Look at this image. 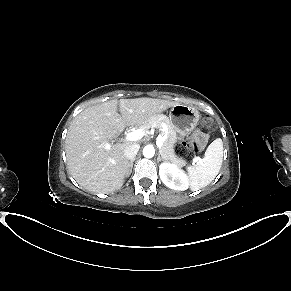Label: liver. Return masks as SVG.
<instances>
[{"instance_id": "obj_1", "label": "liver", "mask_w": 291, "mask_h": 291, "mask_svg": "<svg viewBox=\"0 0 291 291\" xmlns=\"http://www.w3.org/2000/svg\"><path fill=\"white\" fill-rule=\"evenodd\" d=\"M176 104L153 98L120 99L82 111L71 123L65 141L71 176L91 192L111 193L120 189L129 171L124 149L132 143L109 141L118 137L125 127L142 125ZM106 145L110 147L107 149Z\"/></svg>"}]
</instances>
